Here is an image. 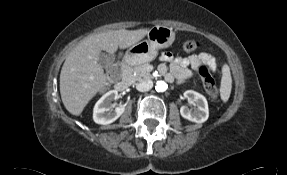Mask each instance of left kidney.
I'll return each instance as SVG.
<instances>
[{
    "instance_id": "obj_1",
    "label": "left kidney",
    "mask_w": 287,
    "mask_h": 175,
    "mask_svg": "<svg viewBox=\"0 0 287 175\" xmlns=\"http://www.w3.org/2000/svg\"><path fill=\"white\" fill-rule=\"evenodd\" d=\"M184 97L193 102L195 109L192 111L186 106L180 108L181 116L191 122L203 123L209 117L208 102L206 98L193 90H187L184 92Z\"/></svg>"
}]
</instances>
